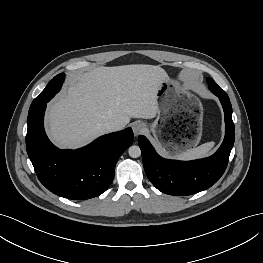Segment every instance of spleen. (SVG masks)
Returning <instances> with one entry per match:
<instances>
[{"mask_svg":"<svg viewBox=\"0 0 263 263\" xmlns=\"http://www.w3.org/2000/svg\"><path fill=\"white\" fill-rule=\"evenodd\" d=\"M215 142H207L196 148L189 149L177 156L178 160L189 161L194 159H200L209 154L211 149L214 147Z\"/></svg>","mask_w":263,"mask_h":263,"instance_id":"obj_1","label":"spleen"}]
</instances>
